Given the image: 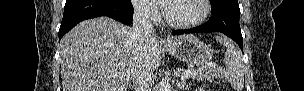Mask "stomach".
<instances>
[{"label": "stomach", "instance_id": "obj_1", "mask_svg": "<svg viewBox=\"0 0 304 91\" xmlns=\"http://www.w3.org/2000/svg\"><path fill=\"white\" fill-rule=\"evenodd\" d=\"M164 48L169 54L191 66L205 65L213 56V50L193 35L173 39Z\"/></svg>", "mask_w": 304, "mask_h": 91}]
</instances>
